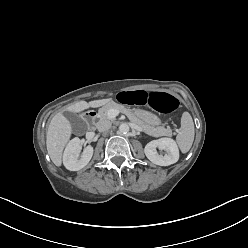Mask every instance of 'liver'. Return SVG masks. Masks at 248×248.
Here are the masks:
<instances>
[{"mask_svg": "<svg viewBox=\"0 0 248 248\" xmlns=\"http://www.w3.org/2000/svg\"><path fill=\"white\" fill-rule=\"evenodd\" d=\"M111 102V99H100L93 100L90 102L79 101L66 108L67 111L73 113H79L88 108H97ZM72 134V125L70 121L63 115L62 112L57 113L51 120L47 135H46V146L48 154L52 162L56 166L62 164V153L64 147L69 141Z\"/></svg>", "mask_w": 248, "mask_h": 248, "instance_id": "1", "label": "liver"}]
</instances>
